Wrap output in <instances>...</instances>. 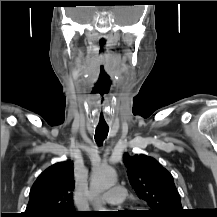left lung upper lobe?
<instances>
[{
    "label": "left lung upper lobe",
    "instance_id": "left-lung-upper-lobe-1",
    "mask_svg": "<svg viewBox=\"0 0 217 217\" xmlns=\"http://www.w3.org/2000/svg\"><path fill=\"white\" fill-rule=\"evenodd\" d=\"M128 178L136 194L152 210L151 217H182L181 199L172 175L154 158L146 155H124Z\"/></svg>",
    "mask_w": 217,
    "mask_h": 217
}]
</instances>
